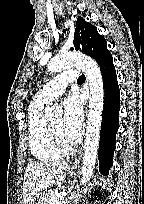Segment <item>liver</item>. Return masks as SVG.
<instances>
[{
  "mask_svg": "<svg viewBox=\"0 0 144 204\" xmlns=\"http://www.w3.org/2000/svg\"><path fill=\"white\" fill-rule=\"evenodd\" d=\"M67 168V162L28 163L23 182V204H35L41 192L62 184Z\"/></svg>",
  "mask_w": 144,
  "mask_h": 204,
  "instance_id": "obj_1",
  "label": "liver"
}]
</instances>
